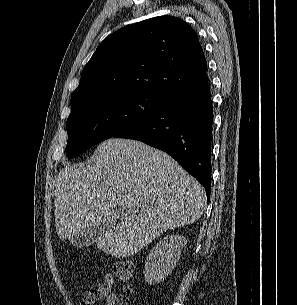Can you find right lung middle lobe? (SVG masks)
I'll list each match as a JSON object with an SVG mask.
<instances>
[{
	"label": "right lung middle lobe",
	"mask_w": 297,
	"mask_h": 305,
	"mask_svg": "<svg viewBox=\"0 0 297 305\" xmlns=\"http://www.w3.org/2000/svg\"><path fill=\"white\" fill-rule=\"evenodd\" d=\"M166 99L146 92L122 93L71 111L66 124L67 155L76 157L94 144L139 123L157 110Z\"/></svg>",
	"instance_id": "obj_1"
}]
</instances>
